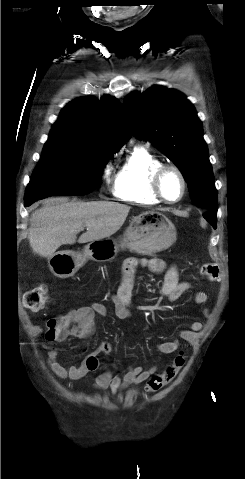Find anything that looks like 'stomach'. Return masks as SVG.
<instances>
[{"instance_id": "0dacf381", "label": "stomach", "mask_w": 245, "mask_h": 479, "mask_svg": "<svg viewBox=\"0 0 245 479\" xmlns=\"http://www.w3.org/2000/svg\"><path fill=\"white\" fill-rule=\"evenodd\" d=\"M176 228L163 214L143 212L134 217L119 241L106 238L92 241L82 252L59 251L48 259L51 272L60 278L73 276L88 260H113L120 249H129L141 255H152L169 248L176 241Z\"/></svg>"}]
</instances>
